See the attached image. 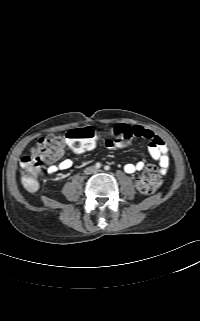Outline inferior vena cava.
I'll list each match as a JSON object with an SVG mask.
<instances>
[{"label": "inferior vena cava", "mask_w": 200, "mask_h": 321, "mask_svg": "<svg viewBox=\"0 0 200 321\" xmlns=\"http://www.w3.org/2000/svg\"><path fill=\"white\" fill-rule=\"evenodd\" d=\"M96 172H97V168L92 167V166L86 168L85 171H84L85 174H92V173H96Z\"/></svg>", "instance_id": "inferior-vena-cava-1"}]
</instances>
